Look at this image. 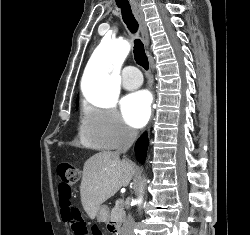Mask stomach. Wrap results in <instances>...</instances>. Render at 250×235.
Returning <instances> with one entry per match:
<instances>
[{"instance_id":"1","label":"stomach","mask_w":250,"mask_h":235,"mask_svg":"<svg viewBox=\"0 0 250 235\" xmlns=\"http://www.w3.org/2000/svg\"><path fill=\"white\" fill-rule=\"evenodd\" d=\"M97 221L106 222L108 220V208L106 205H101L97 212Z\"/></svg>"}]
</instances>
